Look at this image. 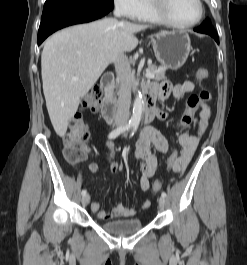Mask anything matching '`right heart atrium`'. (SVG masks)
Segmentation results:
<instances>
[{"instance_id": "right-heart-atrium-1", "label": "right heart atrium", "mask_w": 247, "mask_h": 265, "mask_svg": "<svg viewBox=\"0 0 247 265\" xmlns=\"http://www.w3.org/2000/svg\"><path fill=\"white\" fill-rule=\"evenodd\" d=\"M116 9L124 16L137 20L144 8V0H114Z\"/></svg>"}]
</instances>
